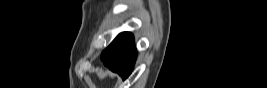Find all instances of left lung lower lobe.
Wrapping results in <instances>:
<instances>
[{
	"instance_id": "1",
	"label": "left lung lower lobe",
	"mask_w": 267,
	"mask_h": 88,
	"mask_svg": "<svg viewBox=\"0 0 267 88\" xmlns=\"http://www.w3.org/2000/svg\"><path fill=\"white\" fill-rule=\"evenodd\" d=\"M101 58L109 69L117 72L122 79H126L136 59L132 35L128 32L119 34L102 52Z\"/></svg>"
}]
</instances>
